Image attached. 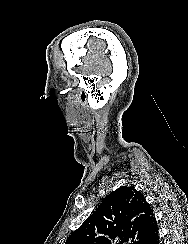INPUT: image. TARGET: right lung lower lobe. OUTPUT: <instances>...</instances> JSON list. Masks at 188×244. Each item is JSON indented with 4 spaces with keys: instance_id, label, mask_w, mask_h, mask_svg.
<instances>
[{
    "instance_id": "98d812e1",
    "label": "right lung lower lobe",
    "mask_w": 188,
    "mask_h": 244,
    "mask_svg": "<svg viewBox=\"0 0 188 244\" xmlns=\"http://www.w3.org/2000/svg\"><path fill=\"white\" fill-rule=\"evenodd\" d=\"M159 242L160 241H159V237H158V228H157V226H155L151 230L147 240L143 244H159Z\"/></svg>"
}]
</instances>
